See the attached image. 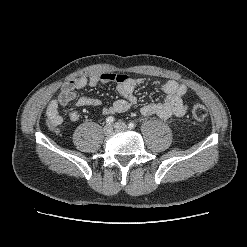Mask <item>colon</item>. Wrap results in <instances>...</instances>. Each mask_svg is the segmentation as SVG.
<instances>
[{"instance_id": "5ec220e1", "label": "colon", "mask_w": 247, "mask_h": 247, "mask_svg": "<svg viewBox=\"0 0 247 247\" xmlns=\"http://www.w3.org/2000/svg\"><path fill=\"white\" fill-rule=\"evenodd\" d=\"M190 114L195 121L202 122L207 116V109L202 104H195L192 106Z\"/></svg>"}]
</instances>
